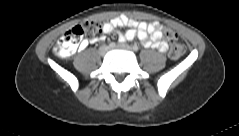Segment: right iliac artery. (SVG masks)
Here are the masks:
<instances>
[{
    "instance_id": "82829eb1",
    "label": "right iliac artery",
    "mask_w": 239,
    "mask_h": 136,
    "mask_svg": "<svg viewBox=\"0 0 239 136\" xmlns=\"http://www.w3.org/2000/svg\"><path fill=\"white\" fill-rule=\"evenodd\" d=\"M116 46V44L114 43V42H111L110 44H109V47H111V48H113V47H115Z\"/></svg>"
}]
</instances>
